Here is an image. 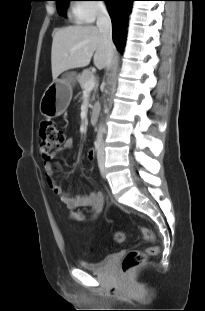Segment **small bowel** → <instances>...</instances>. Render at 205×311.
I'll use <instances>...</instances> for the list:
<instances>
[{
	"label": "small bowel",
	"mask_w": 205,
	"mask_h": 311,
	"mask_svg": "<svg viewBox=\"0 0 205 311\" xmlns=\"http://www.w3.org/2000/svg\"><path fill=\"white\" fill-rule=\"evenodd\" d=\"M74 145L73 138H67L62 149H71ZM87 158L93 161L96 158V152L90 150L87 153ZM44 172L47 184L54 194L59 196L61 202L70 209L69 217L73 221L83 222L86 220L85 212L82 210L88 208L90 213V220H94L102 211L104 206V198L101 192H93L88 195L71 196L54 178V165L47 159L44 162Z\"/></svg>",
	"instance_id": "c3829d8e"
}]
</instances>
